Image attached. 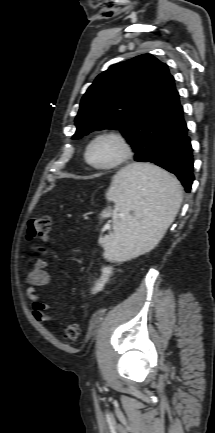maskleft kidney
<instances>
[{"instance_id": "5707ae66", "label": "left kidney", "mask_w": 215, "mask_h": 433, "mask_svg": "<svg viewBox=\"0 0 215 433\" xmlns=\"http://www.w3.org/2000/svg\"><path fill=\"white\" fill-rule=\"evenodd\" d=\"M112 273V268L111 267H103L102 268V276L100 277V279L96 282L92 293L95 294L99 291H101L105 285V283L108 281L109 276Z\"/></svg>"}]
</instances>
